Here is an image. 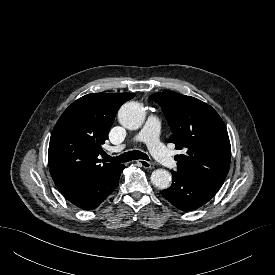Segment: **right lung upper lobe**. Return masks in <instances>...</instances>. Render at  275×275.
I'll use <instances>...</instances> for the list:
<instances>
[{
	"mask_svg": "<svg viewBox=\"0 0 275 275\" xmlns=\"http://www.w3.org/2000/svg\"><path fill=\"white\" fill-rule=\"evenodd\" d=\"M134 93H91L73 102L61 115L50 138L48 162L59 191L87 185L119 164L100 165L97 157L116 113Z\"/></svg>",
	"mask_w": 275,
	"mask_h": 275,
	"instance_id": "1",
	"label": "right lung upper lobe"
}]
</instances>
